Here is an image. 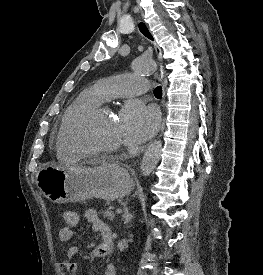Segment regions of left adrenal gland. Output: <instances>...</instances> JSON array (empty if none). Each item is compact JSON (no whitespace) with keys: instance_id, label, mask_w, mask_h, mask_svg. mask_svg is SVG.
Wrapping results in <instances>:
<instances>
[{"instance_id":"obj_1","label":"left adrenal gland","mask_w":263,"mask_h":275,"mask_svg":"<svg viewBox=\"0 0 263 275\" xmlns=\"http://www.w3.org/2000/svg\"><path fill=\"white\" fill-rule=\"evenodd\" d=\"M132 219H133V215L129 213L128 207H125L124 214H123L124 224H128L129 222H131Z\"/></svg>"}]
</instances>
